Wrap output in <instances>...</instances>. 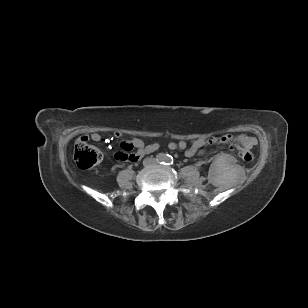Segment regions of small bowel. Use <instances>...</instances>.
<instances>
[{
	"instance_id": "small-bowel-1",
	"label": "small bowel",
	"mask_w": 308,
	"mask_h": 308,
	"mask_svg": "<svg viewBox=\"0 0 308 308\" xmlns=\"http://www.w3.org/2000/svg\"><path fill=\"white\" fill-rule=\"evenodd\" d=\"M116 136H121L120 132L115 133ZM83 137V136H82ZM88 140H92L94 142H99L101 140V135L99 133H93L90 136H84ZM256 141L255 138H251ZM124 145H129L133 148H136L137 151L134 153V160L132 162H137L144 155L152 153L159 148L158 143H153L145 146L144 142L139 138H133L130 141L123 142ZM206 145V140L203 138H197L191 140L189 143L185 140H178L170 142L168 147L171 150H179L183 151L187 157H192L199 153L202 148Z\"/></svg>"
}]
</instances>
